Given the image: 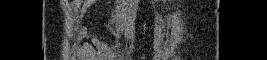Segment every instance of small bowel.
I'll return each mask as SVG.
<instances>
[{"label":"small bowel","instance_id":"c3829d8e","mask_svg":"<svg viewBox=\"0 0 267 60\" xmlns=\"http://www.w3.org/2000/svg\"><path fill=\"white\" fill-rule=\"evenodd\" d=\"M81 34H82L83 36H86V35H88V32H87L86 29H83L82 32H81ZM90 37H91L95 42H98V41H99V37H98L97 35H90Z\"/></svg>","mask_w":267,"mask_h":60}]
</instances>
